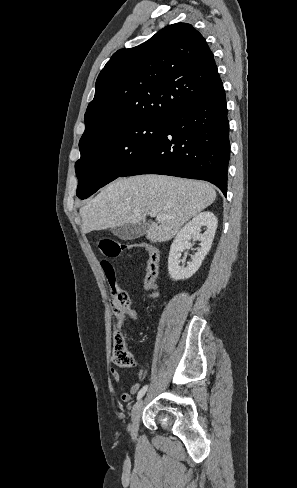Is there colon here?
<instances>
[{
    "mask_svg": "<svg viewBox=\"0 0 297 488\" xmlns=\"http://www.w3.org/2000/svg\"><path fill=\"white\" fill-rule=\"evenodd\" d=\"M134 245L115 241L113 239H103L100 242V249L104 256L114 258L122 251L133 248ZM144 249L148 254L147 271L144 280L145 289L149 292L151 298L157 295V273L159 254L156 248L144 245ZM102 269L113 289L112 309L114 314L120 319L129 312V296L125 291L119 290L115 287L116 271L113 264L108 260L101 261ZM113 362L121 367H131L134 365V360L129 352L128 346L122 334L115 331L113 338Z\"/></svg>",
    "mask_w": 297,
    "mask_h": 488,
    "instance_id": "colon-1",
    "label": "colon"
}]
</instances>
